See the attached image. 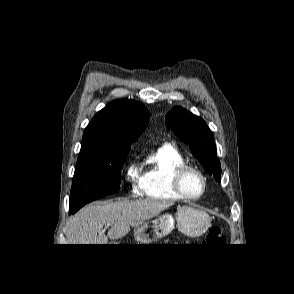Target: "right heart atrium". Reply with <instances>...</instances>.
I'll list each match as a JSON object with an SVG mask.
<instances>
[{
  "label": "right heart atrium",
  "mask_w": 294,
  "mask_h": 294,
  "mask_svg": "<svg viewBox=\"0 0 294 294\" xmlns=\"http://www.w3.org/2000/svg\"><path fill=\"white\" fill-rule=\"evenodd\" d=\"M124 179L130 192L134 195L137 194L140 185V169L136 158L127 165L124 172Z\"/></svg>",
  "instance_id": "1"
}]
</instances>
